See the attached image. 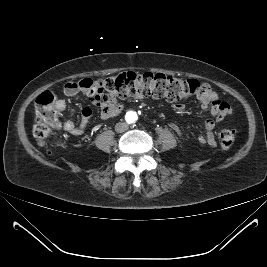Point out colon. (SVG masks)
<instances>
[{
	"instance_id": "colon-1",
	"label": "colon",
	"mask_w": 267,
	"mask_h": 267,
	"mask_svg": "<svg viewBox=\"0 0 267 267\" xmlns=\"http://www.w3.org/2000/svg\"><path fill=\"white\" fill-rule=\"evenodd\" d=\"M77 86L84 89L97 104L128 97L156 98L177 102L199 95L206 89L204 84L195 79L133 71L97 80L86 78L78 81ZM54 103L55 96L50 92L43 93L36 101L33 134L40 144L44 143L52 130L60 125ZM234 139V131L230 128H223L219 132L220 145L224 150L232 147Z\"/></svg>"
}]
</instances>
